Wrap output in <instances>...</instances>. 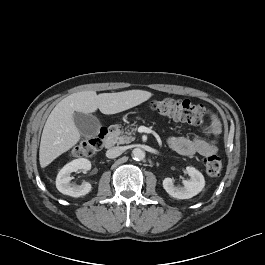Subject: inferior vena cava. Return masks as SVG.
Masks as SVG:
<instances>
[{
  "mask_svg": "<svg viewBox=\"0 0 265 265\" xmlns=\"http://www.w3.org/2000/svg\"><path fill=\"white\" fill-rule=\"evenodd\" d=\"M123 153L122 147H113L107 150L106 157L108 158H116Z\"/></svg>",
  "mask_w": 265,
  "mask_h": 265,
  "instance_id": "1",
  "label": "inferior vena cava"
}]
</instances>
